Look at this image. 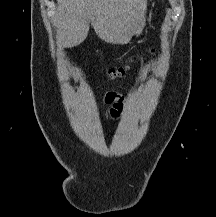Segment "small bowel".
Returning <instances> with one entry per match:
<instances>
[{"mask_svg":"<svg viewBox=\"0 0 216 217\" xmlns=\"http://www.w3.org/2000/svg\"><path fill=\"white\" fill-rule=\"evenodd\" d=\"M104 103L110 104L111 108L107 113V118L116 119L122 116L128 104V100L116 92H107L103 98Z\"/></svg>","mask_w":216,"mask_h":217,"instance_id":"c3829d8e","label":"small bowel"}]
</instances>
